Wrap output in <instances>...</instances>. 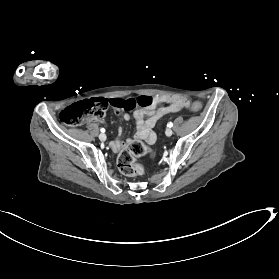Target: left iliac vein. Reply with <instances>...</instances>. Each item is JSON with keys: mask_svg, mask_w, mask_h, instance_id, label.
Returning <instances> with one entry per match:
<instances>
[{"mask_svg": "<svg viewBox=\"0 0 279 279\" xmlns=\"http://www.w3.org/2000/svg\"><path fill=\"white\" fill-rule=\"evenodd\" d=\"M165 134H166V136H171L173 134L172 129L167 128L166 131H165Z\"/></svg>", "mask_w": 279, "mask_h": 279, "instance_id": "4c4485c4", "label": "left iliac vein"}]
</instances>
